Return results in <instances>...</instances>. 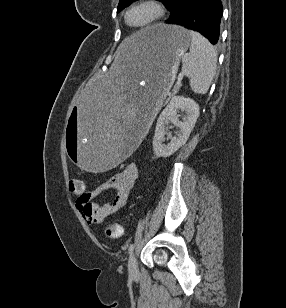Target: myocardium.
<instances>
[{
    "label": "myocardium",
    "mask_w": 286,
    "mask_h": 308,
    "mask_svg": "<svg viewBox=\"0 0 286 308\" xmlns=\"http://www.w3.org/2000/svg\"><path fill=\"white\" fill-rule=\"evenodd\" d=\"M147 5L150 6L154 10V16L146 23L142 25H133L129 22V13L136 7ZM164 15V7L160 3L159 0H138L134 2L126 11L125 13V22L128 26L135 28V29H143L152 26L153 24L160 21L162 16Z\"/></svg>",
    "instance_id": "obj_1"
}]
</instances>
